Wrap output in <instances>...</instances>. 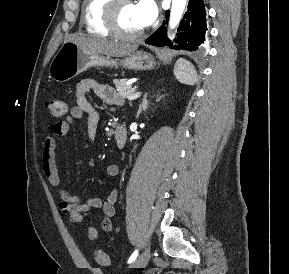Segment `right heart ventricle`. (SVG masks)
<instances>
[{
  "mask_svg": "<svg viewBox=\"0 0 289 274\" xmlns=\"http://www.w3.org/2000/svg\"><path fill=\"white\" fill-rule=\"evenodd\" d=\"M109 0H84L83 23L87 32L108 37L111 35L104 24V10Z\"/></svg>",
  "mask_w": 289,
  "mask_h": 274,
  "instance_id": "e07e8e85",
  "label": "right heart ventricle"
}]
</instances>
